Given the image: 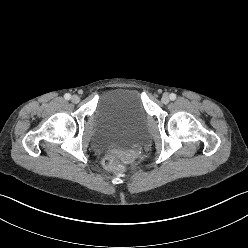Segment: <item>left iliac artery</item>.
Masks as SVG:
<instances>
[{
    "label": "left iliac artery",
    "mask_w": 248,
    "mask_h": 248,
    "mask_svg": "<svg viewBox=\"0 0 248 248\" xmlns=\"http://www.w3.org/2000/svg\"><path fill=\"white\" fill-rule=\"evenodd\" d=\"M169 97H170L171 100H175L176 99V94L171 93Z\"/></svg>",
    "instance_id": "44dca946"
}]
</instances>
